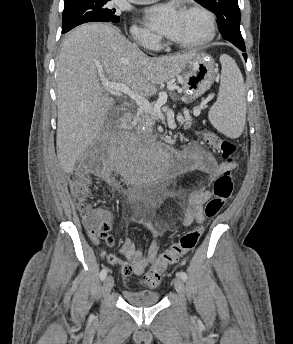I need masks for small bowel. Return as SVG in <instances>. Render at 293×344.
Returning <instances> with one entry per match:
<instances>
[{"label": "small bowel", "mask_w": 293, "mask_h": 344, "mask_svg": "<svg viewBox=\"0 0 293 344\" xmlns=\"http://www.w3.org/2000/svg\"><path fill=\"white\" fill-rule=\"evenodd\" d=\"M185 127L188 126L186 122ZM188 162L181 167V172L184 173H203L206 175V181L203 185L191 190L186 195V205L183 210L182 222L185 226H190L193 223H201L204 219L203 205L206 204L212 197V192L207 189V185L215 180L219 175L227 170H232L236 167V163H219L214 156L204 149L197 146H192L186 152ZM129 221L135 224H141L147 228L151 236L146 254L136 249L134 243L130 239L123 241L120 247V256L115 254H104L105 259L112 265L120 266L123 275L141 276L146 267L155 261L159 253V245L157 238L162 230L169 227L167 222L161 221L157 225L140 220L135 216H130ZM105 241L112 245L114 239L111 235L104 237ZM94 245H99L98 237H91Z\"/></svg>", "instance_id": "c3829d8e"}]
</instances>
